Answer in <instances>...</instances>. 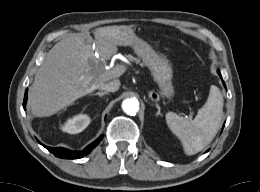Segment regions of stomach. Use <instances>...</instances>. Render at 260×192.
<instances>
[{"label":"stomach","instance_id":"1","mask_svg":"<svg viewBox=\"0 0 260 192\" xmlns=\"http://www.w3.org/2000/svg\"><path fill=\"white\" fill-rule=\"evenodd\" d=\"M111 39L116 45L130 46L151 72L153 80L157 83L158 91H149L153 101L160 98L171 99L174 94L172 83L173 69L169 62L159 54L147 41L138 37L129 27H116L111 30Z\"/></svg>","mask_w":260,"mask_h":192}]
</instances>
